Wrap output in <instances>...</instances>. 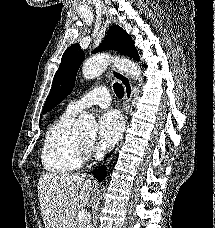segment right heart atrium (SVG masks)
<instances>
[{
	"mask_svg": "<svg viewBox=\"0 0 215 228\" xmlns=\"http://www.w3.org/2000/svg\"><path fill=\"white\" fill-rule=\"evenodd\" d=\"M86 154L87 155H93L94 151L91 148L86 149Z\"/></svg>",
	"mask_w": 215,
	"mask_h": 228,
	"instance_id": "d8ad5b80",
	"label": "right heart atrium"
}]
</instances>
